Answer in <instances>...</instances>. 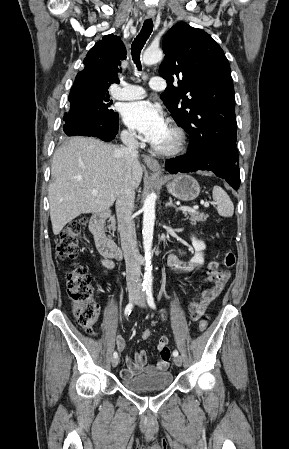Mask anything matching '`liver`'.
<instances>
[{
  "mask_svg": "<svg viewBox=\"0 0 289 449\" xmlns=\"http://www.w3.org/2000/svg\"><path fill=\"white\" fill-rule=\"evenodd\" d=\"M125 169L121 148L86 137H75L59 147L51 165L48 199L54 235L81 214L109 209L117 199ZM143 169L137 160L132 167L136 189ZM97 189V194L91 191Z\"/></svg>",
  "mask_w": 289,
  "mask_h": 449,
  "instance_id": "1",
  "label": "liver"
}]
</instances>
